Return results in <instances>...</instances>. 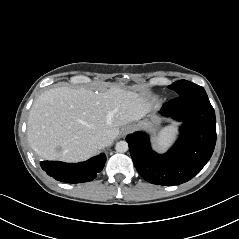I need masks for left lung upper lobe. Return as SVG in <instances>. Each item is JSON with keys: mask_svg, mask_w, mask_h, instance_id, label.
I'll return each instance as SVG.
<instances>
[{"mask_svg": "<svg viewBox=\"0 0 239 239\" xmlns=\"http://www.w3.org/2000/svg\"><path fill=\"white\" fill-rule=\"evenodd\" d=\"M168 88L175 90L178 93V96H184L203 89V87L196 85L192 82H189L187 80L177 81L168 86Z\"/></svg>", "mask_w": 239, "mask_h": 239, "instance_id": "1", "label": "left lung upper lobe"}]
</instances>
